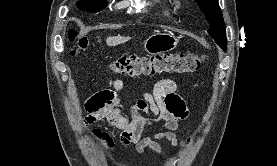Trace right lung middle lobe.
Returning a JSON list of instances; mask_svg holds the SVG:
<instances>
[{
  "instance_id": "obj_1",
  "label": "right lung middle lobe",
  "mask_w": 277,
  "mask_h": 166,
  "mask_svg": "<svg viewBox=\"0 0 277 166\" xmlns=\"http://www.w3.org/2000/svg\"><path fill=\"white\" fill-rule=\"evenodd\" d=\"M77 6L83 11L98 12L104 9L107 4L105 0H80Z\"/></svg>"
}]
</instances>
